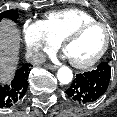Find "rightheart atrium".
<instances>
[{"mask_svg":"<svg viewBox=\"0 0 117 117\" xmlns=\"http://www.w3.org/2000/svg\"><path fill=\"white\" fill-rule=\"evenodd\" d=\"M26 54L32 62H41L45 53L53 51L58 45L42 21H26L22 29Z\"/></svg>","mask_w":117,"mask_h":117,"instance_id":"right-heart-atrium-1","label":"right heart atrium"}]
</instances>
